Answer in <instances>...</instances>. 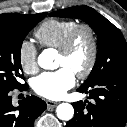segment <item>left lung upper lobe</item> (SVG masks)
<instances>
[{"instance_id": "1", "label": "left lung upper lobe", "mask_w": 127, "mask_h": 127, "mask_svg": "<svg viewBox=\"0 0 127 127\" xmlns=\"http://www.w3.org/2000/svg\"><path fill=\"white\" fill-rule=\"evenodd\" d=\"M53 17L78 18L88 23L98 39V53L89 77L79 88H86L108 75L127 76V43L121 31L88 6H74L50 14Z\"/></svg>"}]
</instances>
